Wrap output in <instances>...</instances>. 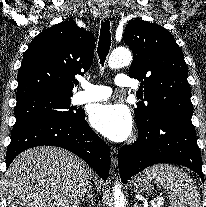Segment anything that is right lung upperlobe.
<instances>
[{
    "instance_id": "right-lung-upper-lobe-1",
    "label": "right lung upper lobe",
    "mask_w": 206,
    "mask_h": 207,
    "mask_svg": "<svg viewBox=\"0 0 206 207\" xmlns=\"http://www.w3.org/2000/svg\"><path fill=\"white\" fill-rule=\"evenodd\" d=\"M95 40L73 21L42 31L30 43L18 72L16 99L36 94L71 95L75 74L93 61Z\"/></svg>"
}]
</instances>
